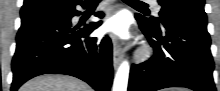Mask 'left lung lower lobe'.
<instances>
[{
  "instance_id": "left-lung-lower-lobe-1",
  "label": "left lung lower lobe",
  "mask_w": 220,
  "mask_h": 91,
  "mask_svg": "<svg viewBox=\"0 0 220 91\" xmlns=\"http://www.w3.org/2000/svg\"><path fill=\"white\" fill-rule=\"evenodd\" d=\"M136 19L153 47V57L132 65L128 91H156L167 87L216 91L207 23L170 18L162 24L161 31L140 14H136Z\"/></svg>"
}]
</instances>
